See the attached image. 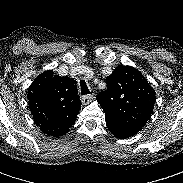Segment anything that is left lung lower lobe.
Listing matches in <instances>:
<instances>
[{
	"instance_id": "0a47b994",
	"label": "left lung lower lobe",
	"mask_w": 183,
	"mask_h": 183,
	"mask_svg": "<svg viewBox=\"0 0 183 183\" xmlns=\"http://www.w3.org/2000/svg\"><path fill=\"white\" fill-rule=\"evenodd\" d=\"M106 125L113 135L122 139L131 137L141 130V127L124 125L111 120H106Z\"/></svg>"
}]
</instances>
